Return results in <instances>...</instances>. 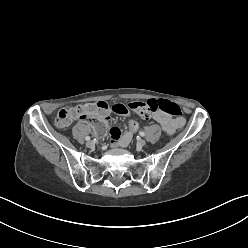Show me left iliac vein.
<instances>
[{"label":"left iliac vein","instance_id":"1","mask_svg":"<svg viewBox=\"0 0 248 248\" xmlns=\"http://www.w3.org/2000/svg\"><path fill=\"white\" fill-rule=\"evenodd\" d=\"M145 145H146V141H145L144 139H139V140L137 141V146H138V147L142 148V147H144Z\"/></svg>","mask_w":248,"mask_h":248}]
</instances>
